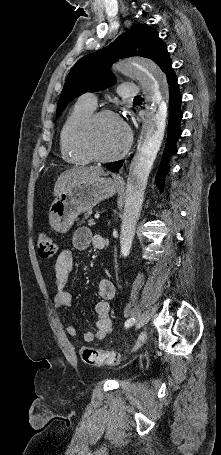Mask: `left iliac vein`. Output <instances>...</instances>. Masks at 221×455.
Segmentation results:
<instances>
[{
	"instance_id": "4c4485c4",
	"label": "left iliac vein",
	"mask_w": 221,
	"mask_h": 455,
	"mask_svg": "<svg viewBox=\"0 0 221 455\" xmlns=\"http://www.w3.org/2000/svg\"><path fill=\"white\" fill-rule=\"evenodd\" d=\"M146 340H147V332L146 331L140 332L132 351H136L138 348H140L146 342Z\"/></svg>"
}]
</instances>
